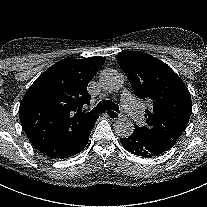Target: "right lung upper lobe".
<instances>
[{"instance_id": "obj_1", "label": "right lung upper lobe", "mask_w": 207, "mask_h": 207, "mask_svg": "<svg viewBox=\"0 0 207 207\" xmlns=\"http://www.w3.org/2000/svg\"><path fill=\"white\" fill-rule=\"evenodd\" d=\"M105 57L66 58L52 65L24 95L19 117L33 146L45 155L77 138L96 115L82 111L90 103L89 81Z\"/></svg>"}]
</instances>
